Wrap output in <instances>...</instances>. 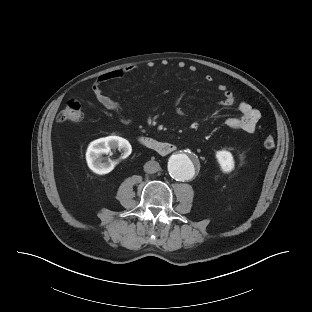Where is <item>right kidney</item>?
<instances>
[{"instance_id":"right-kidney-1","label":"right kidney","mask_w":312,"mask_h":312,"mask_svg":"<svg viewBox=\"0 0 312 312\" xmlns=\"http://www.w3.org/2000/svg\"><path fill=\"white\" fill-rule=\"evenodd\" d=\"M122 151L123 157H128L132 147L128 140L119 136H108L92 141L86 151L88 167L98 175H104L111 171L112 167L102 162V155L108 154L111 149Z\"/></svg>"}]
</instances>
